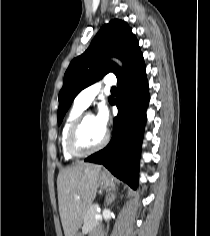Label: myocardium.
I'll return each mask as SVG.
<instances>
[{"label": "myocardium", "instance_id": "obj_1", "mask_svg": "<svg viewBox=\"0 0 210 236\" xmlns=\"http://www.w3.org/2000/svg\"><path fill=\"white\" fill-rule=\"evenodd\" d=\"M88 116H93L90 112H82L72 122L66 138V148L68 152L75 156H85L101 150L109 141V133L105 131L102 141L93 147H85L80 143L79 135L82 125Z\"/></svg>", "mask_w": 210, "mask_h": 236}]
</instances>
